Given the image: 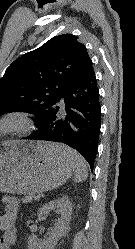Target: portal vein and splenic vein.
Instances as JSON below:
<instances>
[{
	"mask_svg": "<svg viewBox=\"0 0 135 249\" xmlns=\"http://www.w3.org/2000/svg\"><path fill=\"white\" fill-rule=\"evenodd\" d=\"M40 197L37 195L36 197H35V199H39Z\"/></svg>",
	"mask_w": 135,
	"mask_h": 249,
	"instance_id": "portal-vein-and-splenic-vein-1",
	"label": "portal vein and splenic vein"
}]
</instances>
